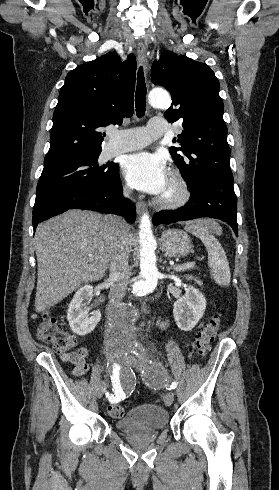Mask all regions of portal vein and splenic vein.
Returning <instances> with one entry per match:
<instances>
[{
    "mask_svg": "<svg viewBox=\"0 0 279 490\" xmlns=\"http://www.w3.org/2000/svg\"><path fill=\"white\" fill-rule=\"evenodd\" d=\"M195 262H189V264H182V266H175L173 270L175 272H181V270H188V268H194Z\"/></svg>",
    "mask_w": 279,
    "mask_h": 490,
    "instance_id": "1",
    "label": "portal vein and splenic vein"
}]
</instances>
